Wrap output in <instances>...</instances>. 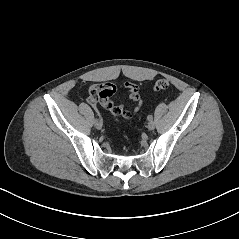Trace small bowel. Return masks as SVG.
<instances>
[{
    "label": "small bowel",
    "instance_id": "small-bowel-1",
    "mask_svg": "<svg viewBox=\"0 0 239 239\" xmlns=\"http://www.w3.org/2000/svg\"><path fill=\"white\" fill-rule=\"evenodd\" d=\"M123 88L128 91V97L132 102V107L127 108L123 104H118L112 100L116 88L111 84L93 87L88 94V101L95 107H103L109 110L112 116H121L125 119L134 117L143 106V99L140 96V87L133 83H125Z\"/></svg>",
    "mask_w": 239,
    "mask_h": 239
}]
</instances>
